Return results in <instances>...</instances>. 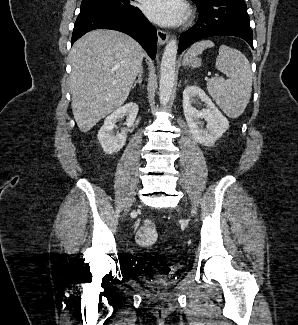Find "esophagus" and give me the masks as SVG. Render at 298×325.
I'll use <instances>...</instances> for the list:
<instances>
[{
	"mask_svg": "<svg viewBox=\"0 0 298 325\" xmlns=\"http://www.w3.org/2000/svg\"><path fill=\"white\" fill-rule=\"evenodd\" d=\"M157 36H158L159 45H164L166 43V41L168 40V35L163 30H158Z\"/></svg>",
	"mask_w": 298,
	"mask_h": 325,
	"instance_id": "34e87169",
	"label": "esophagus"
}]
</instances>
